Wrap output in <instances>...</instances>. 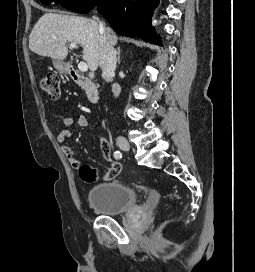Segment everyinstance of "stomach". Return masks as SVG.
I'll list each match as a JSON object with an SVG mask.
<instances>
[{"label": "stomach", "mask_w": 255, "mask_h": 272, "mask_svg": "<svg viewBox=\"0 0 255 272\" xmlns=\"http://www.w3.org/2000/svg\"><path fill=\"white\" fill-rule=\"evenodd\" d=\"M53 65L58 71L62 73H67L69 71L68 66L62 61L55 60Z\"/></svg>", "instance_id": "1"}]
</instances>
